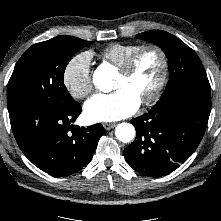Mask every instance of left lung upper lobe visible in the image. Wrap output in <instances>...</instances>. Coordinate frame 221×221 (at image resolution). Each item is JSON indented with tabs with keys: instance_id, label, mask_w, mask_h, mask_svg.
I'll list each match as a JSON object with an SVG mask.
<instances>
[{
	"instance_id": "left-lung-upper-lobe-1",
	"label": "left lung upper lobe",
	"mask_w": 221,
	"mask_h": 221,
	"mask_svg": "<svg viewBox=\"0 0 221 221\" xmlns=\"http://www.w3.org/2000/svg\"><path fill=\"white\" fill-rule=\"evenodd\" d=\"M135 37L156 44L168 58L169 81L162 97L185 88L211 90L199 57L183 41L161 30L146 31Z\"/></svg>"
}]
</instances>
